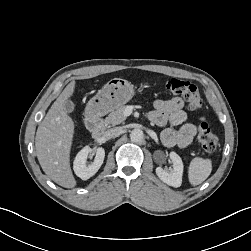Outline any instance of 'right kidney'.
Masks as SVG:
<instances>
[{
    "label": "right kidney",
    "instance_id": "obj_1",
    "mask_svg": "<svg viewBox=\"0 0 251 251\" xmlns=\"http://www.w3.org/2000/svg\"><path fill=\"white\" fill-rule=\"evenodd\" d=\"M93 151L89 146H85L75 157L73 169L75 174L82 180H87L97 173L105 158V150L102 147L96 148L94 161L87 166L88 155Z\"/></svg>",
    "mask_w": 251,
    "mask_h": 251
}]
</instances>
